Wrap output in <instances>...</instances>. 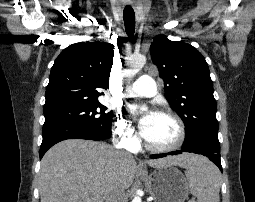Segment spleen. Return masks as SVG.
<instances>
[{
	"label": "spleen",
	"instance_id": "obj_1",
	"mask_svg": "<svg viewBox=\"0 0 255 202\" xmlns=\"http://www.w3.org/2000/svg\"><path fill=\"white\" fill-rule=\"evenodd\" d=\"M185 175L189 190L197 202H220L221 174L208 159L197 156L187 167Z\"/></svg>",
	"mask_w": 255,
	"mask_h": 202
}]
</instances>
